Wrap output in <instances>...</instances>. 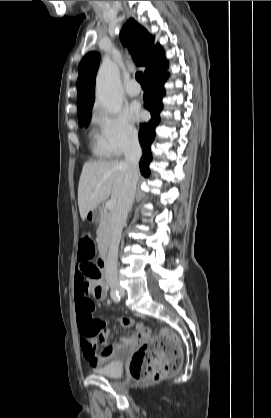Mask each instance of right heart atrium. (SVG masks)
Returning a JSON list of instances; mask_svg holds the SVG:
<instances>
[{
  "mask_svg": "<svg viewBox=\"0 0 271 418\" xmlns=\"http://www.w3.org/2000/svg\"><path fill=\"white\" fill-rule=\"evenodd\" d=\"M97 122L100 126L103 145L109 155L120 156L137 144V130L126 113L100 112Z\"/></svg>",
  "mask_w": 271,
  "mask_h": 418,
  "instance_id": "right-heart-atrium-1",
  "label": "right heart atrium"
}]
</instances>
